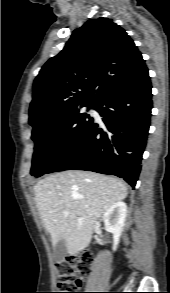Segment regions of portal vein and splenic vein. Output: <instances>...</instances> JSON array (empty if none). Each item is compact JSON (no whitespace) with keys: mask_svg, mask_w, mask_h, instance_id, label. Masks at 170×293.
Wrapping results in <instances>:
<instances>
[{"mask_svg":"<svg viewBox=\"0 0 170 293\" xmlns=\"http://www.w3.org/2000/svg\"><path fill=\"white\" fill-rule=\"evenodd\" d=\"M63 216L67 217L69 215L68 211H63L62 212Z\"/></svg>","mask_w":170,"mask_h":293,"instance_id":"obj_1","label":"portal vein and splenic vein"}]
</instances>
